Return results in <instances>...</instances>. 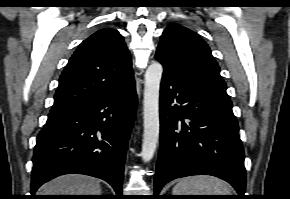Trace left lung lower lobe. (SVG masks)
Here are the masks:
<instances>
[{
  "mask_svg": "<svg viewBox=\"0 0 290 199\" xmlns=\"http://www.w3.org/2000/svg\"><path fill=\"white\" fill-rule=\"evenodd\" d=\"M212 175L244 198L246 173L239 127L227 94L164 70L160 89V151L155 195L171 180Z\"/></svg>",
  "mask_w": 290,
  "mask_h": 199,
  "instance_id": "0a47b994",
  "label": "left lung lower lobe"
}]
</instances>
